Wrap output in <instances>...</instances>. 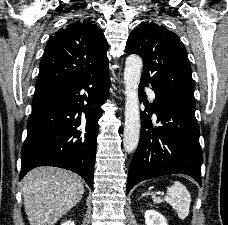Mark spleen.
Instances as JSON below:
<instances>
[{
    "label": "spleen",
    "mask_w": 228,
    "mask_h": 225,
    "mask_svg": "<svg viewBox=\"0 0 228 225\" xmlns=\"http://www.w3.org/2000/svg\"><path fill=\"white\" fill-rule=\"evenodd\" d=\"M152 199L153 203H162V201L169 203L182 221L189 215L191 195L179 181H174L171 187H167L166 197H163V199L161 197H152Z\"/></svg>",
    "instance_id": "3e777b00"
}]
</instances>
